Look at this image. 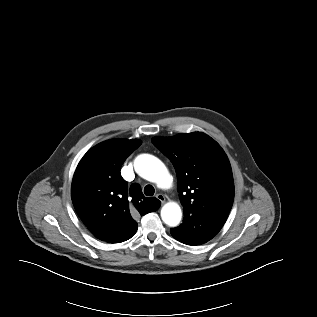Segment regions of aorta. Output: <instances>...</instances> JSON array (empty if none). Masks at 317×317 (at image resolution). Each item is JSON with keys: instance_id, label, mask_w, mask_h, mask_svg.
Wrapping results in <instances>:
<instances>
[{"instance_id": "762f6f07", "label": "aorta", "mask_w": 317, "mask_h": 317, "mask_svg": "<svg viewBox=\"0 0 317 317\" xmlns=\"http://www.w3.org/2000/svg\"><path fill=\"white\" fill-rule=\"evenodd\" d=\"M139 175L148 181L155 182L161 188L171 186V177L163 162L151 154L138 156L134 163ZM161 218L170 227L177 226L182 218V211L176 202H168L161 209Z\"/></svg>"}]
</instances>
